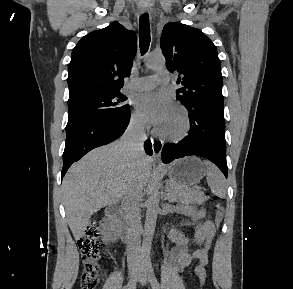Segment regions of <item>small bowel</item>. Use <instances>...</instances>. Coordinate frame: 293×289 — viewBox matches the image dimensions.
Returning a JSON list of instances; mask_svg holds the SVG:
<instances>
[{
	"label": "small bowel",
	"mask_w": 293,
	"mask_h": 289,
	"mask_svg": "<svg viewBox=\"0 0 293 289\" xmlns=\"http://www.w3.org/2000/svg\"><path fill=\"white\" fill-rule=\"evenodd\" d=\"M179 214L190 217L195 224L193 239L186 237L181 231L171 228L169 235L175 246L171 251L170 258L176 271H183L191 262L199 261L195 273L199 279L206 280L205 266L208 263V255L212 248L213 239L216 234L215 225L211 220H205V210L190 205H182L177 208ZM196 245L198 249L190 253V246Z\"/></svg>",
	"instance_id": "c3829d8e"
}]
</instances>
